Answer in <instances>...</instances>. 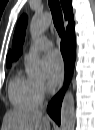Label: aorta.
<instances>
[{
    "mask_svg": "<svg viewBox=\"0 0 95 130\" xmlns=\"http://www.w3.org/2000/svg\"><path fill=\"white\" fill-rule=\"evenodd\" d=\"M50 23L51 17L48 13L33 16L29 29L32 40H36ZM26 67L31 76H39L42 73L40 57L34 46L30 48ZM75 120V100L72 92L68 90L62 101L60 130H74Z\"/></svg>",
    "mask_w": 95,
    "mask_h": 130,
    "instance_id": "762f6f07",
    "label": "aorta"
}]
</instances>
